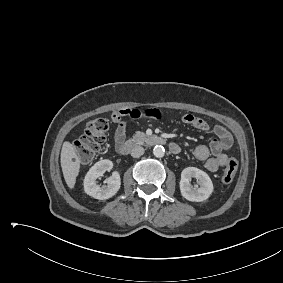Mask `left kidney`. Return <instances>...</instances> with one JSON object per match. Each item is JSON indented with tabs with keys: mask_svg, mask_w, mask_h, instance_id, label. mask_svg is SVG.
<instances>
[{
	"mask_svg": "<svg viewBox=\"0 0 283 283\" xmlns=\"http://www.w3.org/2000/svg\"><path fill=\"white\" fill-rule=\"evenodd\" d=\"M195 178L199 187H191L190 181ZM213 183L204 171L196 167H187L181 172L180 191L182 196L192 202H202L213 192Z\"/></svg>",
	"mask_w": 283,
	"mask_h": 283,
	"instance_id": "5707ae66",
	"label": "left kidney"
}]
</instances>
